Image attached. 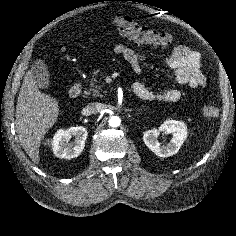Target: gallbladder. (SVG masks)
Returning a JSON list of instances; mask_svg holds the SVG:
<instances>
[{"instance_id": "obj_1", "label": "gallbladder", "mask_w": 236, "mask_h": 236, "mask_svg": "<svg viewBox=\"0 0 236 236\" xmlns=\"http://www.w3.org/2000/svg\"><path fill=\"white\" fill-rule=\"evenodd\" d=\"M32 73L35 77L37 85L42 89L49 87V72L43 60H36L32 66Z\"/></svg>"}]
</instances>
